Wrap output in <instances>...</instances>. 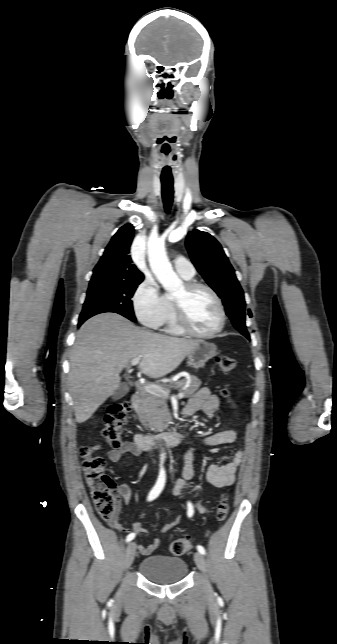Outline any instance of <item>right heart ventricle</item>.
Segmentation results:
<instances>
[{"mask_svg": "<svg viewBox=\"0 0 337 644\" xmlns=\"http://www.w3.org/2000/svg\"><path fill=\"white\" fill-rule=\"evenodd\" d=\"M183 278L188 281L192 279V278H186V277H183ZM165 300H166V314L161 324V326H163V331L170 335H181L183 332L179 329V327L176 324L174 313H173L172 299L169 296H166Z\"/></svg>", "mask_w": 337, "mask_h": 644, "instance_id": "1", "label": "right heart ventricle"}]
</instances>
